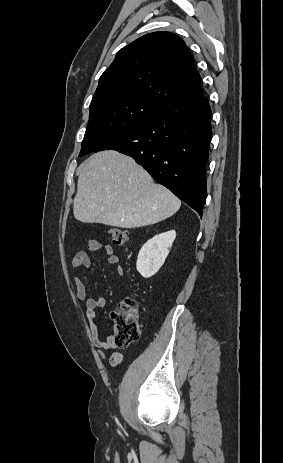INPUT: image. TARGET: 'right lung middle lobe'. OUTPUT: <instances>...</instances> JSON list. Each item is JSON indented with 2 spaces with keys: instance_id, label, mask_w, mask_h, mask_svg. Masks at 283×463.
I'll list each match as a JSON object with an SVG mask.
<instances>
[{
  "instance_id": "obj_1",
  "label": "right lung middle lobe",
  "mask_w": 283,
  "mask_h": 463,
  "mask_svg": "<svg viewBox=\"0 0 283 463\" xmlns=\"http://www.w3.org/2000/svg\"><path fill=\"white\" fill-rule=\"evenodd\" d=\"M160 109L155 104L127 92H107L93 97L89 124L79 155L95 151Z\"/></svg>"
}]
</instances>
